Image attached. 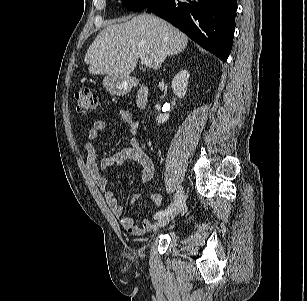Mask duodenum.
Segmentation results:
<instances>
[{
	"label": "duodenum",
	"mask_w": 307,
	"mask_h": 301,
	"mask_svg": "<svg viewBox=\"0 0 307 301\" xmlns=\"http://www.w3.org/2000/svg\"><path fill=\"white\" fill-rule=\"evenodd\" d=\"M135 85H138L136 94L137 106L139 108H145L148 105L149 101L148 87L144 84H137V82L135 83Z\"/></svg>",
	"instance_id": "410a0bca"
}]
</instances>
